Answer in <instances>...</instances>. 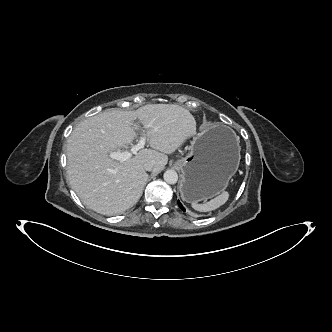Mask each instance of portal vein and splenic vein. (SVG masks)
<instances>
[{
	"label": "portal vein and splenic vein",
	"mask_w": 332,
	"mask_h": 332,
	"mask_svg": "<svg viewBox=\"0 0 332 332\" xmlns=\"http://www.w3.org/2000/svg\"><path fill=\"white\" fill-rule=\"evenodd\" d=\"M143 128H146L144 126ZM146 136L142 133L140 136V139L137 144L133 145L130 149V151H115V152H110L109 157L118 161H126L132 157L133 154H137V152L141 149L144 148L145 143H146Z\"/></svg>",
	"instance_id": "obj_1"
}]
</instances>
